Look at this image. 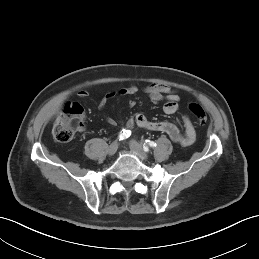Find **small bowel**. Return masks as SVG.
<instances>
[{"label": "small bowel", "instance_id": "1", "mask_svg": "<svg viewBox=\"0 0 259 259\" xmlns=\"http://www.w3.org/2000/svg\"><path fill=\"white\" fill-rule=\"evenodd\" d=\"M139 91L135 85H128L107 93L100 101L99 109L104 112L109 100L114 97H123L134 95ZM142 91L153 101L162 102L163 111L167 115H174L178 111V103L180 101V92L178 89L172 88L164 84H149L142 88ZM78 97L85 99L89 96L87 90H80L77 93ZM105 120L110 125H115L116 122L111 117L104 115ZM184 131L181 132L177 124L172 121H150L143 114H135L127 121V128L132 130L135 127L154 132L166 134L175 144L181 147H188L193 144L196 137L194 125L189 116L184 115L181 120Z\"/></svg>", "mask_w": 259, "mask_h": 259}]
</instances>
